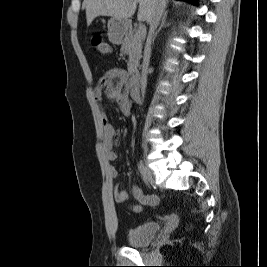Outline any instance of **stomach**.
I'll list each match as a JSON object with an SVG mask.
<instances>
[{
	"mask_svg": "<svg viewBox=\"0 0 267 267\" xmlns=\"http://www.w3.org/2000/svg\"><path fill=\"white\" fill-rule=\"evenodd\" d=\"M107 27L110 42L119 44L130 31V22L125 19L112 17L109 19Z\"/></svg>",
	"mask_w": 267,
	"mask_h": 267,
	"instance_id": "obj_1",
	"label": "stomach"
}]
</instances>
